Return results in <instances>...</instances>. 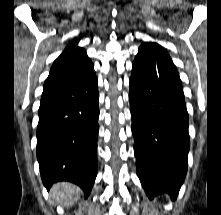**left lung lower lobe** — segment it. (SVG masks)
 Returning a JSON list of instances; mask_svg holds the SVG:
<instances>
[{
	"label": "left lung lower lobe",
	"mask_w": 221,
	"mask_h": 215,
	"mask_svg": "<svg viewBox=\"0 0 221 215\" xmlns=\"http://www.w3.org/2000/svg\"><path fill=\"white\" fill-rule=\"evenodd\" d=\"M136 170L149 198L176 199L187 173L188 113L182 83L157 43L139 48L129 90Z\"/></svg>",
	"instance_id": "obj_1"
}]
</instances>
